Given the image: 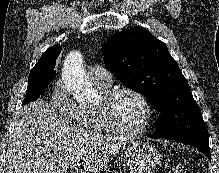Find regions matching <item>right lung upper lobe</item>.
Returning a JSON list of instances; mask_svg holds the SVG:
<instances>
[{"label": "right lung upper lobe", "mask_w": 219, "mask_h": 173, "mask_svg": "<svg viewBox=\"0 0 219 173\" xmlns=\"http://www.w3.org/2000/svg\"><path fill=\"white\" fill-rule=\"evenodd\" d=\"M60 52L61 48L59 45H54L51 48L47 49L32 70H42L44 73H50L52 75H55V60Z\"/></svg>", "instance_id": "right-lung-upper-lobe-1"}]
</instances>
